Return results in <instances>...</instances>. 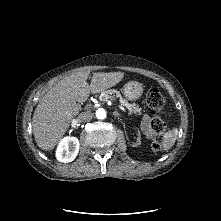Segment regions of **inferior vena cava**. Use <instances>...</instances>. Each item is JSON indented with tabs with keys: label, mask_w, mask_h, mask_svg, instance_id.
Instances as JSON below:
<instances>
[{
	"label": "inferior vena cava",
	"mask_w": 221,
	"mask_h": 221,
	"mask_svg": "<svg viewBox=\"0 0 221 221\" xmlns=\"http://www.w3.org/2000/svg\"><path fill=\"white\" fill-rule=\"evenodd\" d=\"M93 118V113L91 111H85L79 114V121H89Z\"/></svg>",
	"instance_id": "1"
}]
</instances>
